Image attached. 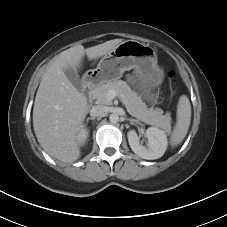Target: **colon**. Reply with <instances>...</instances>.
I'll return each mask as SVG.
<instances>
[{
    "mask_svg": "<svg viewBox=\"0 0 227 227\" xmlns=\"http://www.w3.org/2000/svg\"><path fill=\"white\" fill-rule=\"evenodd\" d=\"M169 77H170V78L173 77V73H172V72L169 73Z\"/></svg>",
    "mask_w": 227,
    "mask_h": 227,
    "instance_id": "colon-1",
    "label": "colon"
}]
</instances>
